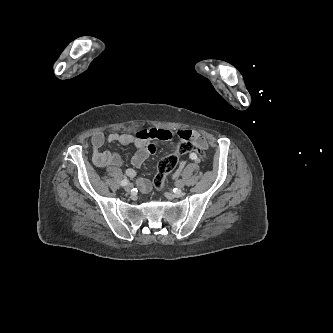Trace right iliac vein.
Returning a JSON list of instances; mask_svg holds the SVG:
<instances>
[{
    "label": "right iliac vein",
    "instance_id": "63e3f726",
    "mask_svg": "<svg viewBox=\"0 0 333 333\" xmlns=\"http://www.w3.org/2000/svg\"><path fill=\"white\" fill-rule=\"evenodd\" d=\"M132 188H133L132 184H128V185H126L125 190L127 192H130L132 190Z\"/></svg>",
    "mask_w": 333,
    "mask_h": 333
}]
</instances>
